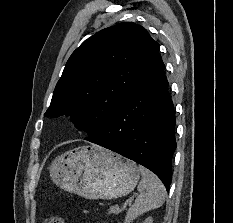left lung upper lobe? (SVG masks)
I'll return each instance as SVG.
<instances>
[{"mask_svg":"<svg viewBox=\"0 0 233 223\" xmlns=\"http://www.w3.org/2000/svg\"><path fill=\"white\" fill-rule=\"evenodd\" d=\"M159 47L145 28L132 22L99 31L70 56L44 115L71 116L89 141L138 87Z\"/></svg>","mask_w":233,"mask_h":223,"instance_id":"obj_1","label":"left lung upper lobe"}]
</instances>
